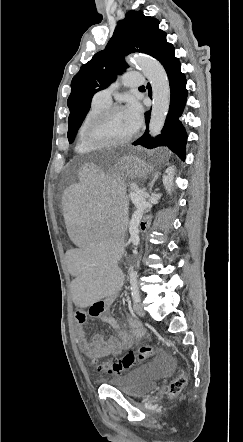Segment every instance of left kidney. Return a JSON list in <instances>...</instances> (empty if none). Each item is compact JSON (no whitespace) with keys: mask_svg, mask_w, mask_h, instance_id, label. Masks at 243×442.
Instances as JSON below:
<instances>
[{"mask_svg":"<svg viewBox=\"0 0 243 442\" xmlns=\"http://www.w3.org/2000/svg\"><path fill=\"white\" fill-rule=\"evenodd\" d=\"M174 171H175L174 166L169 167L166 170L167 175L163 176V184H164L165 188L168 191H171V188L173 186V174H174Z\"/></svg>","mask_w":243,"mask_h":442,"instance_id":"5707ae66","label":"left kidney"}]
</instances>
